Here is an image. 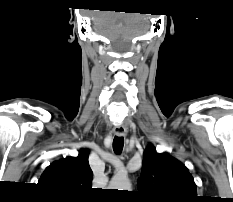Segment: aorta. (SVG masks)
Wrapping results in <instances>:
<instances>
[{
  "label": "aorta",
  "instance_id": "aorta-1",
  "mask_svg": "<svg viewBox=\"0 0 233 202\" xmlns=\"http://www.w3.org/2000/svg\"><path fill=\"white\" fill-rule=\"evenodd\" d=\"M131 184L126 176H116L113 178L110 189L128 190Z\"/></svg>",
  "mask_w": 233,
  "mask_h": 202
}]
</instances>
